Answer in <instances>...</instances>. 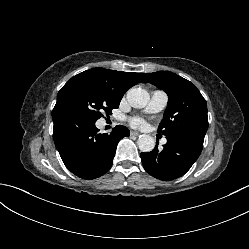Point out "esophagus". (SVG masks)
<instances>
[{
	"instance_id": "1",
	"label": "esophagus",
	"mask_w": 249,
	"mask_h": 249,
	"mask_svg": "<svg viewBox=\"0 0 249 249\" xmlns=\"http://www.w3.org/2000/svg\"><path fill=\"white\" fill-rule=\"evenodd\" d=\"M130 134H131L132 136H139V135H140V133L137 132V131H131Z\"/></svg>"
}]
</instances>
